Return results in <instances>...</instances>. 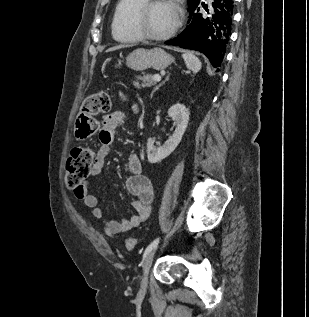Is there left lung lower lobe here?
I'll list each match as a JSON object with an SVG mask.
<instances>
[{"mask_svg":"<svg viewBox=\"0 0 309 317\" xmlns=\"http://www.w3.org/2000/svg\"><path fill=\"white\" fill-rule=\"evenodd\" d=\"M234 3V0H213L209 9L204 6L205 13L199 12L200 3L189 8L187 27L178 37L165 43L205 54L219 71L231 34Z\"/></svg>","mask_w":309,"mask_h":317,"instance_id":"1","label":"left lung lower lobe"}]
</instances>
